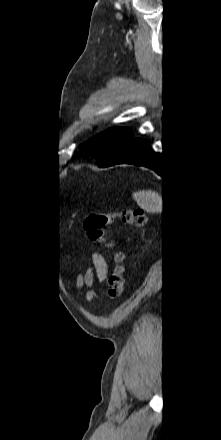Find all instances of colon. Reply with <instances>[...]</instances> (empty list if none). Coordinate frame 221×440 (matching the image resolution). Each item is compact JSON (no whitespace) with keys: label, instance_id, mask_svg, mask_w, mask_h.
<instances>
[{"label":"colon","instance_id":"5ec220e1","mask_svg":"<svg viewBox=\"0 0 221 440\" xmlns=\"http://www.w3.org/2000/svg\"><path fill=\"white\" fill-rule=\"evenodd\" d=\"M122 219L127 224L134 227H142L144 225L145 215L142 210L132 209L121 211L116 214H90L84 222L83 227L88 237L99 243H103L106 247L115 249V241L107 239L105 235V227L107 224ZM114 268L108 280V295L111 299L120 297L124 291V261L125 254L119 250L114 251Z\"/></svg>","mask_w":221,"mask_h":440}]
</instances>
